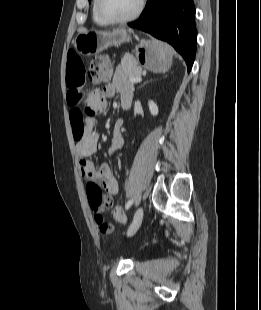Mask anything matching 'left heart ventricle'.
Returning a JSON list of instances; mask_svg holds the SVG:
<instances>
[{
	"label": "left heart ventricle",
	"instance_id": "b2bd125f",
	"mask_svg": "<svg viewBox=\"0 0 261 310\" xmlns=\"http://www.w3.org/2000/svg\"><path fill=\"white\" fill-rule=\"evenodd\" d=\"M139 0H102V10L113 18L131 15L137 8Z\"/></svg>",
	"mask_w": 261,
	"mask_h": 310
}]
</instances>
